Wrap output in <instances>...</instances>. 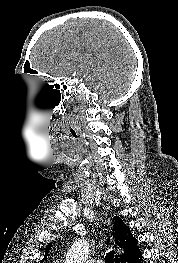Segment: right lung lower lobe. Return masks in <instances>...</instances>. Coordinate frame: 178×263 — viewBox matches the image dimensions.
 Listing matches in <instances>:
<instances>
[{
    "label": "right lung lower lobe",
    "instance_id": "98d812e1",
    "mask_svg": "<svg viewBox=\"0 0 178 263\" xmlns=\"http://www.w3.org/2000/svg\"><path fill=\"white\" fill-rule=\"evenodd\" d=\"M126 263H143L141 251L139 250L137 253H135L130 259L126 261Z\"/></svg>",
    "mask_w": 178,
    "mask_h": 263
}]
</instances>
